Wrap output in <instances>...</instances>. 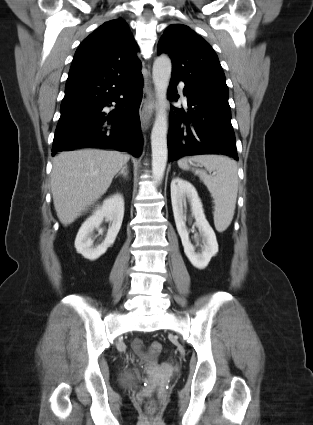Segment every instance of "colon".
Returning <instances> with one entry per match:
<instances>
[{
    "instance_id": "colon-1",
    "label": "colon",
    "mask_w": 313,
    "mask_h": 425,
    "mask_svg": "<svg viewBox=\"0 0 313 425\" xmlns=\"http://www.w3.org/2000/svg\"><path fill=\"white\" fill-rule=\"evenodd\" d=\"M151 353H159L162 350V345L160 342H152L148 348ZM145 410L148 414H154L156 411V403L154 400H148L145 403Z\"/></svg>"
}]
</instances>
